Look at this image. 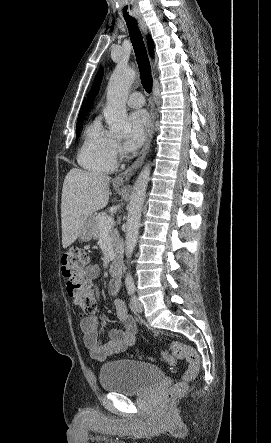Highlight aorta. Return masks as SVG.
Wrapping results in <instances>:
<instances>
[{
	"instance_id": "1",
	"label": "aorta",
	"mask_w": 271,
	"mask_h": 443,
	"mask_svg": "<svg viewBox=\"0 0 271 443\" xmlns=\"http://www.w3.org/2000/svg\"><path fill=\"white\" fill-rule=\"evenodd\" d=\"M135 78L136 72L132 68L116 66L108 82L104 118L111 132H129L131 130L126 110V100ZM150 172L151 164H145L133 186L126 222V257H131L137 243ZM126 283H133L131 273H127Z\"/></svg>"
}]
</instances>
